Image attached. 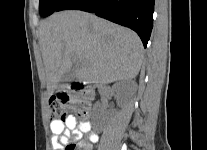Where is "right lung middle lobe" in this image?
Here are the masks:
<instances>
[{"label":"right lung middle lobe","mask_w":207,"mask_h":150,"mask_svg":"<svg viewBox=\"0 0 207 150\" xmlns=\"http://www.w3.org/2000/svg\"><path fill=\"white\" fill-rule=\"evenodd\" d=\"M65 0H39V13L42 17L51 15Z\"/></svg>","instance_id":"1"}]
</instances>
